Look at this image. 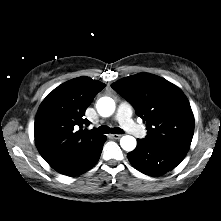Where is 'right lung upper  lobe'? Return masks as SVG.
Masks as SVG:
<instances>
[{"mask_svg":"<svg viewBox=\"0 0 221 221\" xmlns=\"http://www.w3.org/2000/svg\"><path fill=\"white\" fill-rule=\"evenodd\" d=\"M105 84L78 77L55 88L41 103L34 125L35 144L46 162L67 175L98 150L104 135L83 129L85 110Z\"/></svg>","mask_w":221,"mask_h":221,"instance_id":"obj_1","label":"right lung upper lobe"}]
</instances>
